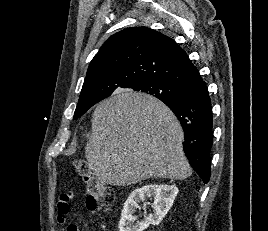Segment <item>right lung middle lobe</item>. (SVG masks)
Here are the masks:
<instances>
[{
	"label": "right lung middle lobe",
	"instance_id": "1",
	"mask_svg": "<svg viewBox=\"0 0 268 231\" xmlns=\"http://www.w3.org/2000/svg\"><path fill=\"white\" fill-rule=\"evenodd\" d=\"M131 89L137 92H143L146 94L153 95L160 100H177L181 99L186 94V91L183 89L173 87L159 81L141 82ZM93 105L94 104L92 103L78 102L73 119H77L78 117L83 115Z\"/></svg>",
	"mask_w": 268,
	"mask_h": 231
}]
</instances>
